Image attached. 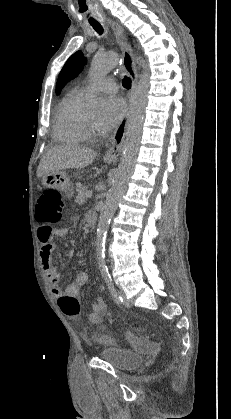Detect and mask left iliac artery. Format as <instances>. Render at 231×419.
Returning <instances> with one entry per match:
<instances>
[{
    "mask_svg": "<svg viewBox=\"0 0 231 419\" xmlns=\"http://www.w3.org/2000/svg\"><path fill=\"white\" fill-rule=\"evenodd\" d=\"M100 271H101V274H102V276H103V278H104V280L107 284V287H108L114 301L117 304H120L121 302H123L122 297L120 296V294L117 292V290L114 287V284L112 282L111 276H110L109 271H108V268L105 264L100 265Z\"/></svg>",
    "mask_w": 231,
    "mask_h": 419,
    "instance_id": "1",
    "label": "left iliac artery"
}]
</instances>
